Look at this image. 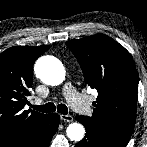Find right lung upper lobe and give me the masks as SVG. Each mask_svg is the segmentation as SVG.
Here are the masks:
<instances>
[{
    "instance_id": "1",
    "label": "right lung upper lobe",
    "mask_w": 147,
    "mask_h": 147,
    "mask_svg": "<svg viewBox=\"0 0 147 147\" xmlns=\"http://www.w3.org/2000/svg\"><path fill=\"white\" fill-rule=\"evenodd\" d=\"M48 45L11 47L0 54V147L18 140L43 124L49 114L23 110L30 96L32 68Z\"/></svg>"
}]
</instances>
